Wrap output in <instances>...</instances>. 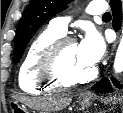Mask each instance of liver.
Here are the masks:
<instances>
[{"instance_id":"1","label":"liver","mask_w":123,"mask_h":113,"mask_svg":"<svg viewBox=\"0 0 123 113\" xmlns=\"http://www.w3.org/2000/svg\"><path fill=\"white\" fill-rule=\"evenodd\" d=\"M17 101L24 103L25 105L34 109L49 113L51 111L61 110L67 107L72 99L70 96H61L49 99H35L28 97H16Z\"/></svg>"}]
</instances>
